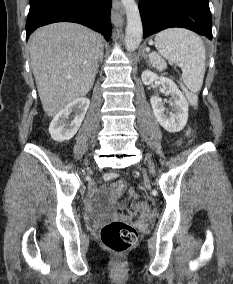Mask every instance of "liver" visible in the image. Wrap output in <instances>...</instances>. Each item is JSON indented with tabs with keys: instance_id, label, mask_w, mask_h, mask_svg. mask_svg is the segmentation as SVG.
Segmentation results:
<instances>
[{
	"instance_id": "obj_1",
	"label": "liver",
	"mask_w": 233,
	"mask_h": 284,
	"mask_svg": "<svg viewBox=\"0 0 233 284\" xmlns=\"http://www.w3.org/2000/svg\"><path fill=\"white\" fill-rule=\"evenodd\" d=\"M29 46L37 90L49 117L90 91L103 49L98 33L76 23H53L37 29Z\"/></svg>"
}]
</instances>
